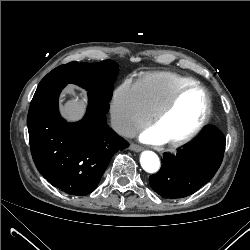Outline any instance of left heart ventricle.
<instances>
[{"mask_svg": "<svg viewBox=\"0 0 250 250\" xmlns=\"http://www.w3.org/2000/svg\"><path fill=\"white\" fill-rule=\"evenodd\" d=\"M205 111L204 94L199 89L186 91L174 108L152 130L164 141H170L191 131Z\"/></svg>", "mask_w": 250, "mask_h": 250, "instance_id": "1", "label": "left heart ventricle"}]
</instances>
